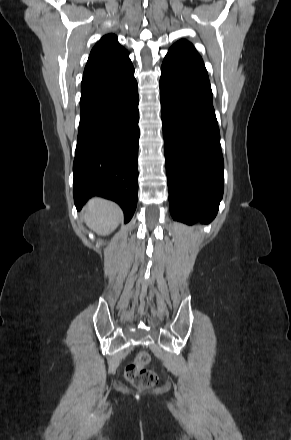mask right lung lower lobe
I'll list each match as a JSON object with an SVG mask.
<instances>
[{"mask_svg": "<svg viewBox=\"0 0 291 440\" xmlns=\"http://www.w3.org/2000/svg\"><path fill=\"white\" fill-rule=\"evenodd\" d=\"M131 66L120 73L83 79L73 163L74 202L80 210L93 195L117 202L128 222L138 192L139 111Z\"/></svg>", "mask_w": 291, "mask_h": 440, "instance_id": "1", "label": "right lung lower lobe"}]
</instances>
